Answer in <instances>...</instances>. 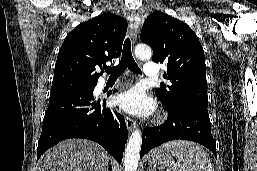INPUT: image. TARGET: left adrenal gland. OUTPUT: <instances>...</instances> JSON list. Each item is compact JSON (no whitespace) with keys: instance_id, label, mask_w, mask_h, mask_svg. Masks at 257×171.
Masks as SVG:
<instances>
[{"instance_id":"a2214340","label":"left adrenal gland","mask_w":257,"mask_h":171,"mask_svg":"<svg viewBox=\"0 0 257 171\" xmlns=\"http://www.w3.org/2000/svg\"><path fill=\"white\" fill-rule=\"evenodd\" d=\"M146 171H156V170L153 169V168L151 167V165H149V168H148Z\"/></svg>"}]
</instances>
